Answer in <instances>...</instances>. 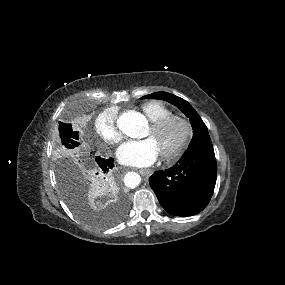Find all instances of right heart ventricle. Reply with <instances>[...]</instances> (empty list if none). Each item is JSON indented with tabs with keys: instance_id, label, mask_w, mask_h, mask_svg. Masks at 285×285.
Returning <instances> with one entry per match:
<instances>
[{
	"instance_id": "1",
	"label": "right heart ventricle",
	"mask_w": 285,
	"mask_h": 285,
	"mask_svg": "<svg viewBox=\"0 0 285 285\" xmlns=\"http://www.w3.org/2000/svg\"><path fill=\"white\" fill-rule=\"evenodd\" d=\"M141 112L150 120L163 118L171 113V109L160 101H148L140 106Z\"/></svg>"
}]
</instances>
